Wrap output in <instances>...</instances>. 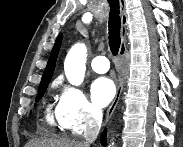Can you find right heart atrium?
Returning a JSON list of instances; mask_svg holds the SVG:
<instances>
[{"label":"right heart atrium","mask_w":183,"mask_h":147,"mask_svg":"<svg viewBox=\"0 0 183 147\" xmlns=\"http://www.w3.org/2000/svg\"><path fill=\"white\" fill-rule=\"evenodd\" d=\"M57 112L63 127L74 134L91 129L101 117L100 110L89 102L82 90L67 85L62 87Z\"/></svg>","instance_id":"right-heart-atrium-1"}]
</instances>
